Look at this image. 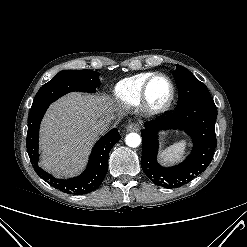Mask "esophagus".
Wrapping results in <instances>:
<instances>
[{
    "mask_svg": "<svg viewBox=\"0 0 247 247\" xmlns=\"http://www.w3.org/2000/svg\"><path fill=\"white\" fill-rule=\"evenodd\" d=\"M140 130V125L137 123H129L127 125V131H139Z\"/></svg>",
    "mask_w": 247,
    "mask_h": 247,
    "instance_id": "34e87169",
    "label": "esophagus"
}]
</instances>
